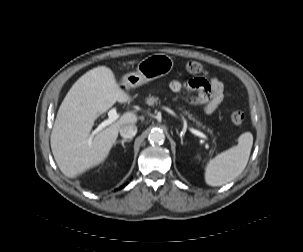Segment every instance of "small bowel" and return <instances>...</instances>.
<instances>
[{"mask_svg":"<svg viewBox=\"0 0 303 252\" xmlns=\"http://www.w3.org/2000/svg\"><path fill=\"white\" fill-rule=\"evenodd\" d=\"M169 88L174 93L196 92V96L189 97L187 103L193 106H201L205 113L214 112L227 95V86L217 78L206 80L194 78L186 82L173 80Z\"/></svg>","mask_w":303,"mask_h":252,"instance_id":"small-bowel-1","label":"small bowel"}]
</instances>
